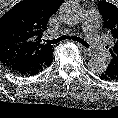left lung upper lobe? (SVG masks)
<instances>
[{"instance_id":"1","label":"left lung upper lobe","mask_w":118,"mask_h":118,"mask_svg":"<svg viewBox=\"0 0 118 118\" xmlns=\"http://www.w3.org/2000/svg\"><path fill=\"white\" fill-rule=\"evenodd\" d=\"M98 9L114 43V46L109 49L112 59L105 71V75L113 81H118V7L106 1H100Z\"/></svg>"}]
</instances>
